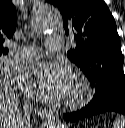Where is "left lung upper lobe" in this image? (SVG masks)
I'll use <instances>...</instances> for the list:
<instances>
[{
	"mask_svg": "<svg viewBox=\"0 0 125 128\" xmlns=\"http://www.w3.org/2000/svg\"><path fill=\"white\" fill-rule=\"evenodd\" d=\"M58 7L66 35L76 46L67 56L85 73L95 88L92 101L114 86L125 84L124 56L115 20L103 0H45Z\"/></svg>",
	"mask_w": 125,
	"mask_h": 128,
	"instance_id": "1",
	"label": "left lung upper lobe"
}]
</instances>
